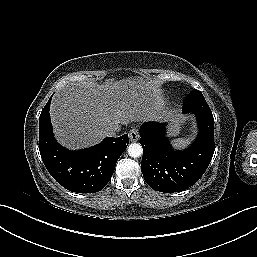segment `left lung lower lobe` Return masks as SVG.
I'll return each mask as SVG.
<instances>
[{"instance_id": "0a47b994", "label": "left lung lower lobe", "mask_w": 257, "mask_h": 257, "mask_svg": "<svg viewBox=\"0 0 257 257\" xmlns=\"http://www.w3.org/2000/svg\"><path fill=\"white\" fill-rule=\"evenodd\" d=\"M183 111V110H182ZM199 133L184 151L172 149L166 137V124L147 122L140 128L143 147L141 170L144 179L156 191L172 193L194 185L206 171L215 150L214 118L211 110H193Z\"/></svg>"}]
</instances>
